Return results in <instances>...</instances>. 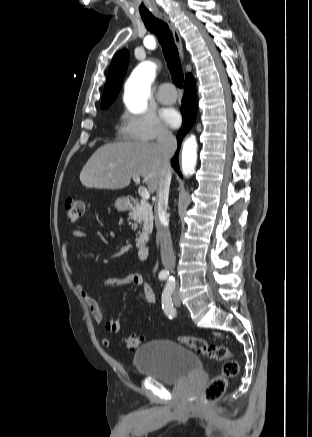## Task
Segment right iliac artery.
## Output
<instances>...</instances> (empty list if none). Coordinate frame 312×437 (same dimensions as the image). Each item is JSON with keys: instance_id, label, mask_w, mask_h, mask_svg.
<instances>
[{"instance_id": "obj_1", "label": "right iliac artery", "mask_w": 312, "mask_h": 437, "mask_svg": "<svg viewBox=\"0 0 312 437\" xmlns=\"http://www.w3.org/2000/svg\"><path fill=\"white\" fill-rule=\"evenodd\" d=\"M167 274H160L159 275V278L161 279V280H165L166 278H167Z\"/></svg>"}]
</instances>
